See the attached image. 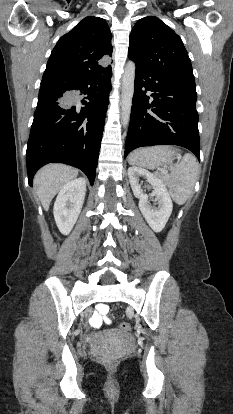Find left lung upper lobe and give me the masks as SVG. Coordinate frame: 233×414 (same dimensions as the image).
Wrapping results in <instances>:
<instances>
[{
    "mask_svg": "<svg viewBox=\"0 0 233 414\" xmlns=\"http://www.w3.org/2000/svg\"><path fill=\"white\" fill-rule=\"evenodd\" d=\"M128 57L136 67L162 79L194 82L191 62L181 38L154 16L140 19L132 29Z\"/></svg>",
    "mask_w": 233,
    "mask_h": 414,
    "instance_id": "5c2ea615",
    "label": "left lung upper lobe"
}]
</instances>
